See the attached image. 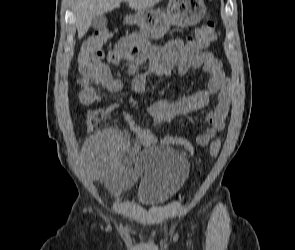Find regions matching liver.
<instances>
[{"label": "liver", "instance_id": "6515ba94", "mask_svg": "<svg viewBox=\"0 0 295 250\" xmlns=\"http://www.w3.org/2000/svg\"><path fill=\"white\" fill-rule=\"evenodd\" d=\"M121 2H127L131 9L141 10L151 8L161 0H75L78 38L87 33L93 17L119 8Z\"/></svg>", "mask_w": 295, "mask_h": 250}]
</instances>
